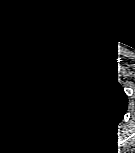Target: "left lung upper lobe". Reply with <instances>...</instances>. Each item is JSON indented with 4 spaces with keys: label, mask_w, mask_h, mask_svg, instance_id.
Here are the masks:
<instances>
[{
    "label": "left lung upper lobe",
    "mask_w": 135,
    "mask_h": 153,
    "mask_svg": "<svg viewBox=\"0 0 135 153\" xmlns=\"http://www.w3.org/2000/svg\"><path fill=\"white\" fill-rule=\"evenodd\" d=\"M82 103L90 121L108 125L124 114L126 95L122 87L102 71L94 73L82 89Z\"/></svg>",
    "instance_id": "5c2ea615"
}]
</instances>
